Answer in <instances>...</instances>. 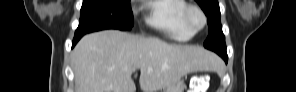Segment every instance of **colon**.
I'll return each instance as SVG.
<instances>
[{
	"label": "colon",
	"instance_id": "5ec220e1",
	"mask_svg": "<svg viewBox=\"0 0 296 92\" xmlns=\"http://www.w3.org/2000/svg\"><path fill=\"white\" fill-rule=\"evenodd\" d=\"M207 78L203 74L194 76L190 81L189 92H204L207 87Z\"/></svg>",
	"mask_w": 296,
	"mask_h": 92
}]
</instances>
